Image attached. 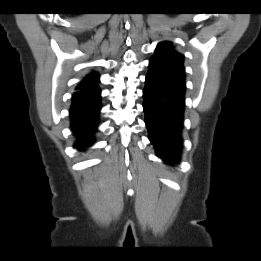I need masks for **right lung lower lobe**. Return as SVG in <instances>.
Listing matches in <instances>:
<instances>
[{
	"instance_id": "right-lung-lower-lobe-1",
	"label": "right lung lower lobe",
	"mask_w": 261,
	"mask_h": 261,
	"mask_svg": "<svg viewBox=\"0 0 261 261\" xmlns=\"http://www.w3.org/2000/svg\"><path fill=\"white\" fill-rule=\"evenodd\" d=\"M100 92V88L95 85L78 89L73 94L70 117L72 131L77 138L74 147L78 150L88 147L94 139L101 108Z\"/></svg>"
}]
</instances>
